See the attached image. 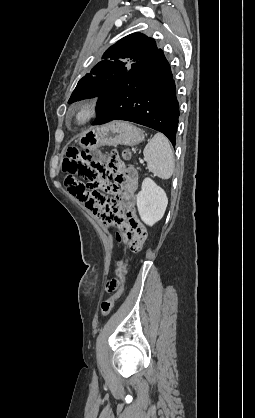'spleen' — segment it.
I'll return each mask as SVG.
<instances>
[{"label":"spleen","instance_id":"3e777b00","mask_svg":"<svg viewBox=\"0 0 255 418\" xmlns=\"http://www.w3.org/2000/svg\"><path fill=\"white\" fill-rule=\"evenodd\" d=\"M150 172L163 180L169 179L174 172V154L168 139L162 133H156L143 150Z\"/></svg>","mask_w":255,"mask_h":418}]
</instances>
